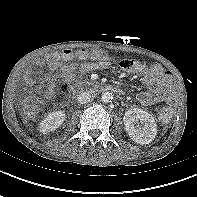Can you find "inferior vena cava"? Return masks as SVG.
<instances>
[{
	"label": "inferior vena cava",
	"mask_w": 197,
	"mask_h": 197,
	"mask_svg": "<svg viewBox=\"0 0 197 197\" xmlns=\"http://www.w3.org/2000/svg\"><path fill=\"white\" fill-rule=\"evenodd\" d=\"M91 99V95L87 92H81L78 96H77V100L80 104H86L90 101Z\"/></svg>",
	"instance_id": "inferior-vena-cava-1"
}]
</instances>
